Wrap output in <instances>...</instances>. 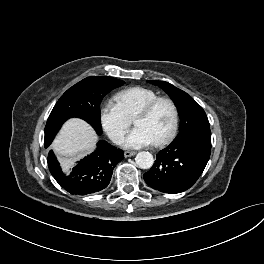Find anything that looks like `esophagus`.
I'll return each mask as SVG.
<instances>
[{"label": "esophagus", "mask_w": 264, "mask_h": 264, "mask_svg": "<svg viewBox=\"0 0 264 264\" xmlns=\"http://www.w3.org/2000/svg\"><path fill=\"white\" fill-rule=\"evenodd\" d=\"M136 154L135 151H125L124 152V156L127 158V157H131V156H134Z\"/></svg>", "instance_id": "34e87169"}]
</instances>
